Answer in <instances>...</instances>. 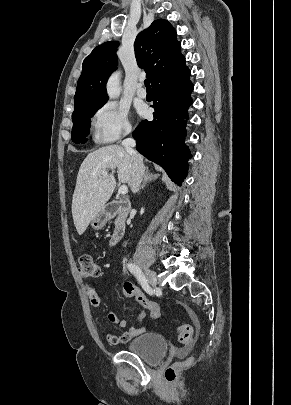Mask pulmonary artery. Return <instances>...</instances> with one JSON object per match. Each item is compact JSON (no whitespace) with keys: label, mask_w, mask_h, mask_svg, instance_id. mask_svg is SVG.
Wrapping results in <instances>:
<instances>
[{"label":"pulmonary artery","mask_w":291,"mask_h":405,"mask_svg":"<svg viewBox=\"0 0 291 405\" xmlns=\"http://www.w3.org/2000/svg\"><path fill=\"white\" fill-rule=\"evenodd\" d=\"M137 96L140 98H145L147 96L146 89L143 87L142 80L139 81L136 90Z\"/></svg>","instance_id":"1"}]
</instances>
